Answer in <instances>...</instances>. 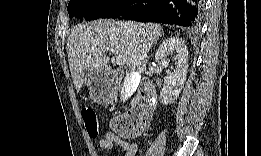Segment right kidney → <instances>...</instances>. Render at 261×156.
<instances>
[{
	"label": "right kidney",
	"mask_w": 261,
	"mask_h": 156,
	"mask_svg": "<svg viewBox=\"0 0 261 156\" xmlns=\"http://www.w3.org/2000/svg\"><path fill=\"white\" fill-rule=\"evenodd\" d=\"M173 52H176L175 69L164 78V86L160 92V100L164 105L173 103L177 99L187 76L188 50L185 42L179 37H171L162 42L155 54L156 62L168 64L166 57Z\"/></svg>",
	"instance_id": "1"
}]
</instances>
